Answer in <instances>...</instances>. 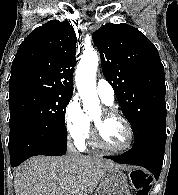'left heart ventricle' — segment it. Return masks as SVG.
<instances>
[{"label": "left heart ventricle", "mask_w": 178, "mask_h": 195, "mask_svg": "<svg viewBox=\"0 0 178 195\" xmlns=\"http://www.w3.org/2000/svg\"><path fill=\"white\" fill-rule=\"evenodd\" d=\"M93 118L95 121L101 122V136L107 145L111 147H123L127 144L129 134L123 122L115 118L104 119L102 111Z\"/></svg>", "instance_id": "left-heart-ventricle-1"}]
</instances>
